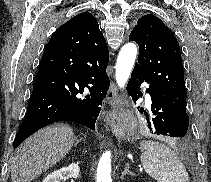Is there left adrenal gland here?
I'll use <instances>...</instances> for the list:
<instances>
[{"label": "left adrenal gland", "instance_id": "obj_1", "mask_svg": "<svg viewBox=\"0 0 211 182\" xmlns=\"http://www.w3.org/2000/svg\"><path fill=\"white\" fill-rule=\"evenodd\" d=\"M125 175H135L133 172L129 170V163L125 164V168L122 172L121 179H123Z\"/></svg>", "mask_w": 211, "mask_h": 182}]
</instances>
